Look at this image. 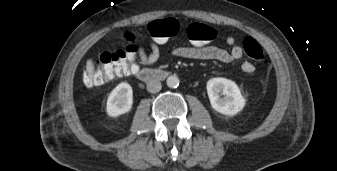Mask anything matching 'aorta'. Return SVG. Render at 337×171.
<instances>
[{"label": "aorta", "instance_id": "1", "mask_svg": "<svg viewBox=\"0 0 337 171\" xmlns=\"http://www.w3.org/2000/svg\"><path fill=\"white\" fill-rule=\"evenodd\" d=\"M180 80L176 75H170L167 80L166 84L170 88H177L179 86Z\"/></svg>", "mask_w": 337, "mask_h": 171}]
</instances>
